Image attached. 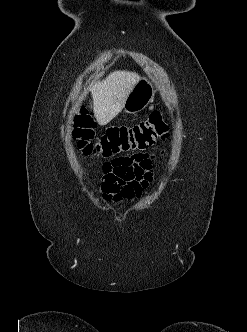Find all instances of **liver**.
Instances as JSON below:
<instances>
[{"label":"liver","instance_id":"6515ba94","mask_svg":"<svg viewBox=\"0 0 247 332\" xmlns=\"http://www.w3.org/2000/svg\"><path fill=\"white\" fill-rule=\"evenodd\" d=\"M140 79L130 71H114L91 88L94 115L99 125H107L123 109L126 97Z\"/></svg>","mask_w":247,"mask_h":332}]
</instances>
